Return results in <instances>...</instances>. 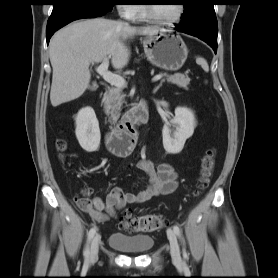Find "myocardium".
Returning <instances> with one entry per match:
<instances>
[{
    "label": "myocardium",
    "instance_id": "myocardium-1",
    "mask_svg": "<svg viewBox=\"0 0 278 278\" xmlns=\"http://www.w3.org/2000/svg\"><path fill=\"white\" fill-rule=\"evenodd\" d=\"M179 5V10L177 15L170 20H163L158 18L152 11V7L151 5H144V9H145V14L148 20H150L153 23L159 24V25H164V26H172L176 23H178L184 16L185 13V6L184 4L180 3Z\"/></svg>",
    "mask_w": 278,
    "mask_h": 278
}]
</instances>
